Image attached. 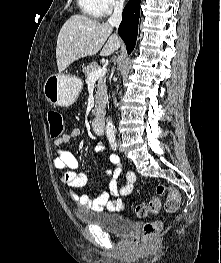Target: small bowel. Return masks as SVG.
Listing matches in <instances>:
<instances>
[{"label": "small bowel", "instance_id": "1", "mask_svg": "<svg viewBox=\"0 0 221 263\" xmlns=\"http://www.w3.org/2000/svg\"><path fill=\"white\" fill-rule=\"evenodd\" d=\"M79 136L80 129L75 127L52 142V149L55 154L54 166L63 172L59 176V181L68 189L72 202L82 209L93 212L106 211L109 213L122 211L124 209V203L121 197L129 196L133 192L136 174L131 171L127 172L125 174L124 184L119 187L117 181L122 173L120 158L116 154H111L109 160L115 165V168L107 172L108 189L93 199L84 193L76 191V189L86 185L87 176L82 172L76 171L78 168L76 157L72 153L64 151L62 145ZM93 150L96 154H104L107 151L102 141H96Z\"/></svg>", "mask_w": 221, "mask_h": 263}]
</instances>
